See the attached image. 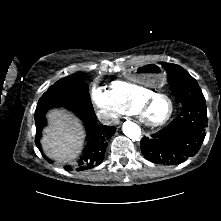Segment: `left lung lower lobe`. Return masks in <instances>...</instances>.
I'll return each instance as SVG.
<instances>
[{
    "mask_svg": "<svg viewBox=\"0 0 221 221\" xmlns=\"http://www.w3.org/2000/svg\"><path fill=\"white\" fill-rule=\"evenodd\" d=\"M207 123L205 99L186 103L180 115L167 127L142 138V154L153 163H183L199 151L206 135Z\"/></svg>",
    "mask_w": 221,
    "mask_h": 221,
    "instance_id": "left-lung-lower-lobe-1",
    "label": "left lung lower lobe"
}]
</instances>
